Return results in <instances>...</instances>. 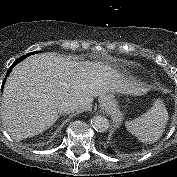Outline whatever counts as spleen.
<instances>
[{
  "label": "spleen",
  "instance_id": "spleen-1",
  "mask_svg": "<svg viewBox=\"0 0 177 177\" xmlns=\"http://www.w3.org/2000/svg\"><path fill=\"white\" fill-rule=\"evenodd\" d=\"M168 112L161 99H156L153 106L138 118L127 121V130L143 143H154L165 131Z\"/></svg>",
  "mask_w": 177,
  "mask_h": 177
}]
</instances>
